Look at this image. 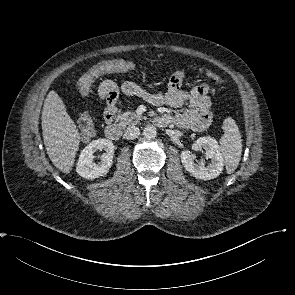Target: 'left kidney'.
<instances>
[{
  "label": "left kidney",
  "mask_w": 295,
  "mask_h": 295,
  "mask_svg": "<svg viewBox=\"0 0 295 295\" xmlns=\"http://www.w3.org/2000/svg\"><path fill=\"white\" fill-rule=\"evenodd\" d=\"M206 150V157L211 159L207 166L195 163V155L188 150L181 152V161L184 168L195 178L210 180L221 174L224 166V159L220 152L217 141L212 137H200L192 145L193 150Z\"/></svg>",
  "instance_id": "obj_1"
}]
</instances>
